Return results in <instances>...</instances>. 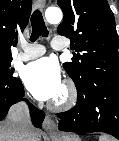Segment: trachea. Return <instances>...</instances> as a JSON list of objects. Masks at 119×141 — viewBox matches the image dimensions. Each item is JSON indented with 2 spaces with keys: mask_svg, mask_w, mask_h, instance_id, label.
<instances>
[{
  "mask_svg": "<svg viewBox=\"0 0 119 141\" xmlns=\"http://www.w3.org/2000/svg\"><path fill=\"white\" fill-rule=\"evenodd\" d=\"M32 34L30 40L36 41L39 36L47 37L48 31L45 26L43 16L39 10L34 11L31 16Z\"/></svg>",
  "mask_w": 119,
  "mask_h": 141,
  "instance_id": "trachea-1",
  "label": "trachea"
}]
</instances>
